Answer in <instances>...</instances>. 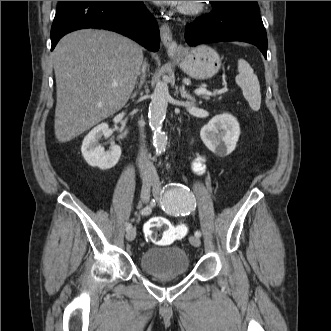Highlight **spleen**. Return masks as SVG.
<instances>
[{"instance_id":"3e777b00","label":"spleen","mask_w":331,"mask_h":331,"mask_svg":"<svg viewBox=\"0 0 331 331\" xmlns=\"http://www.w3.org/2000/svg\"><path fill=\"white\" fill-rule=\"evenodd\" d=\"M238 72L236 83L242 88L243 96L254 111L260 109L261 93L257 76L249 63L244 59L238 60Z\"/></svg>"}]
</instances>
